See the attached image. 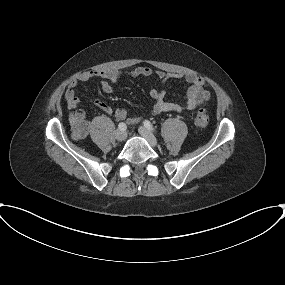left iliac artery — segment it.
<instances>
[{
    "label": "left iliac artery",
    "instance_id": "1",
    "mask_svg": "<svg viewBox=\"0 0 285 285\" xmlns=\"http://www.w3.org/2000/svg\"><path fill=\"white\" fill-rule=\"evenodd\" d=\"M143 123H144V126H145L148 130L153 131V132L155 131L154 128H153V125L150 123V121L145 120Z\"/></svg>",
    "mask_w": 285,
    "mask_h": 285
}]
</instances>
